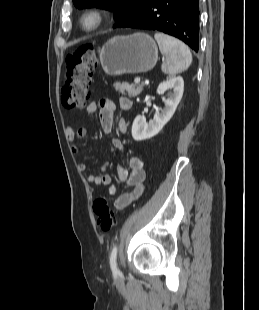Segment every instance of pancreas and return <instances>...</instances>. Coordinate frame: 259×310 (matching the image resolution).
I'll use <instances>...</instances> for the list:
<instances>
[{
    "label": "pancreas",
    "mask_w": 259,
    "mask_h": 310,
    "mask_svg": "<svg viewBox=\"0 0 259 310\" xmlns=\"http://www.w3.org/2000/svg\"><path fill=\"white\" fill-rule=\"evenodd\" d=\"M144 84H128V83H115L114 88L119 91L122 95H128L131 97H136L143 90Z\"/></svg>",
    "instance_id": "cf45deb5"
}]
</instances>
